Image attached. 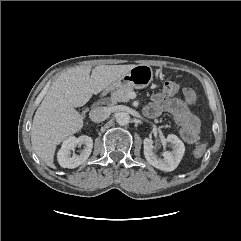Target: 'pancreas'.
Wrapping results in <instances>:
<instances>
[{
    "mask_svg": "<svg viewBox=\"0 0 241 241\" xmlns=\"http://www.w3.org/2000/svg\"><path fill=\"white\" fill-rule=\"evenodd\" d=\"M133 91V87L126 86L117 89L116 91L112 92L111 100L113 103L117 102H128L129 101V94Z\"/></svg>",
    "mask_w": 241,
    "mask_h": 241,
    "instance_id": "obj_1",
    "label": "pancreas"
}]
</instances>
